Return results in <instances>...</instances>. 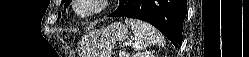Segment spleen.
<instances>
[{
    "label": "spleen",
    "mask_w": 249,
    "mask_h": 57,
    "mask_svg": "<svg viewBox=\"0 0 249 57\" xmlns=\"http://www.w3.org/2000/svg\"><path fill=\"white\" fill-rule=\"evenodd\" d=\"M125 23L133 31L135 37L133 47L136 50L146 49L151 45H164L163 35L149 23L133 18H126Z\"/></svg>",
    "instance_id": "1"
}]
</instances>
